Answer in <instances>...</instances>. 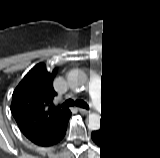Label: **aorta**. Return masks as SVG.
Instances as JSON below:
<instances>
[{"label": "aorta", "mask_w": 160, "mask_h": 158, "mask_svg": "<svg viewBox=\"0 0 160 158\" xmlns=\"http://www.w3.org/2000/svg\"><path fill=\"white\" fill-rule=\"evenodd\" d=\"M69 85L78 92L83 91L88 85L87 76L83 72H74L70 75ZM86 123L90 128H98L101 124V117L99 114H89Z\"/></svg>", "instance_id": "762f6f07"}]
</instances>
